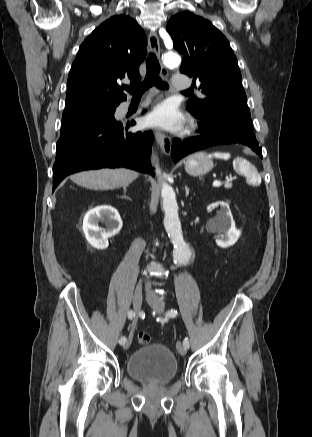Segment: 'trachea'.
<instances>
[{
  "label": "trachea",
  "mask_w": 312,
  "mask_h": 437,
  "mask_svg": "<svg viewBox=\"0 0 312 437\" xmlns=\"http://www.w3.org/2000/svg\"><path fill=\"white\" fill-rule=\"evenodd\" d=\"M147 73L145 79L142 83L136 86L126 87V90L133 96H141L146 90H148L153 85L158 89H168L169 85L162 81L160 78V64L157 60V57L154 54H151L146 60ZM183 93L192 94V91L186 90Z\"/></svg>",
  "instance_id": "1"
}]
</instances>
